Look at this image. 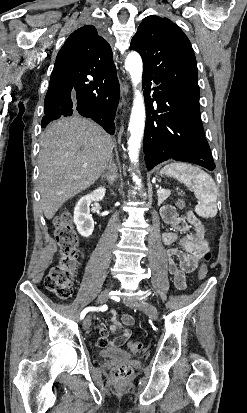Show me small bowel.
<instances>
[{
    "mask_svg": "<svg viewBox=\"0 0 247 413\" xmlns=\"http://www.w3.org/2000/svg\"><path fill=\"white\" fill-rule=\"evenodd\" d=\"M162 218L164 223L174 229L184 233L183 236L173 232H164L162 234V242L169 246L174 243L178 244L179 249H170L167 252L168 271L173 277L174 285L178 290L186 288V277L192 274L202 262V255L208 249L206 240L207 230L202 221L191 211H188L183 217H178L174 208L166 206L162 209ZM193 232H189L190 229ZM110 329L119 331L115 336V340L111 342L113 349H128L130 346L127 338L132 336V331L127 329L135 322L134 317L130 314H123L119 318L116 311L110 312ZM98 331L99 340L96 343L98 349H106L108 342L104 340L109 336L106 322H97L95 325Z\"/></svg>",
    "mask_w": 247,
    "mask_h": 413,
    "instance_id": "small-bowel-1",
    "label": "small bowel"
}]
</instances>
